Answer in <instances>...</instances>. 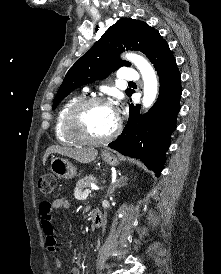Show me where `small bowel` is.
<instances>
[{"label":"small bowel","mask_w":221,"mask_h":274,"mask_svg":"<svg viewBox=\"0 0 221 274\" xmlns=\"http://www.w3.org/2000/svg\"><path fill=\"white\" fill-rule=\"evenodd\" d=\"M69 208V202L66 197H58L53 201H43L39 207V216L42 232L45 238V245L49 252H57V238L54 230V214L53 211L56 209L67 210ZM62 266L60 258L55 259L56 270L59 271ZM69 274H82L80 268L74 267L70 270Z\"/></svg>","instance_id":"small-bowel-1"}]
</instances>
